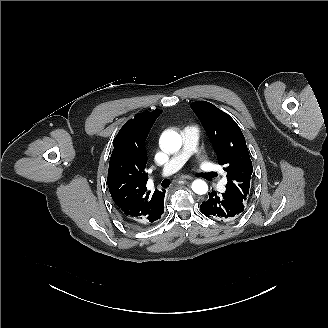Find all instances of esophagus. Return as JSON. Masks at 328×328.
<instances>
[{"instance_id":"34e87169","label":"esophagus","mask_w":328,"mask_h":328,"mask_svg":"<svg viewBox=\"0 0 328 328\" xmlns=\"http://www.w3.org/2000/svg\"><path fill=\"white\" fill-rule=\"evenodd\" d=\"M180 179L181 180H185V179L191 180V179H193V177L189 176V175H183V176L180 177Z\"/></svg>"}]
</instances>
